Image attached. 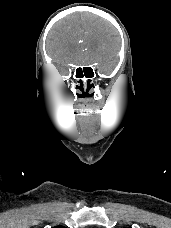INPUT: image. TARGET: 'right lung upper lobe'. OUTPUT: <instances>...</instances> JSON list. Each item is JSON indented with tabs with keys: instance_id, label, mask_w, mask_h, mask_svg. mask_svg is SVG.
Segmentation results:
<instances>
[{
	"instance_id": "obj_1",
	"label": "right lung upper lobe",
	"mask_w": 171,
	"mask_h": 228,
	"mask_svg": "<svg viewBox=\"0 0 171 228\" xmlns=\"http://www.w3.org/2000/svg\"><path fill=\"white\" fill-rule=\"evenodd\" d=\"M54 228H62V227H54Z\"/></svg>"
}]
</instances>
